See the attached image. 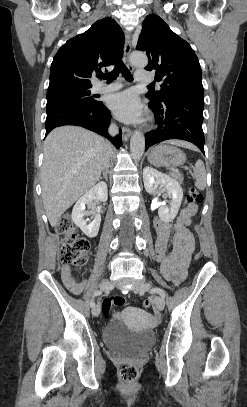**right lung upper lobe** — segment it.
Here are the masks:
<instances>
[{
    "label": "right lung upper lobe",
    "mask_w": 247,
    "mask_h": 407,
    "mask_svg": "<svg viewBox=\"0 0 247 407\" xmlns=\"http://www.w3.org/2000/svg\"><path fill=\"white\" fill-rule=\"evenodd\" d=\"M123 46L120 26L111 18L98 20L58 50L51 64L48 90L65 86L91 87L90 79L100 70L98 68L116 63Z\"/></svg>",
    "instance_id": "obj_1"
}]
</instances>
